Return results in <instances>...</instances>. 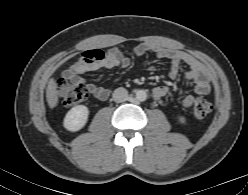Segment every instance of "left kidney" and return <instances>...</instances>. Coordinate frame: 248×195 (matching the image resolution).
<instances>
[{"instance_id":"1","label":"left kidney","mask_w":248,"mask_h":195,"mask_svg":"<svg viewBox=\"0 0 248 195\" xmlns=\"http://www.w3.org/2000/svg\"><path fill=\"white\" fill-rule=\"evenodd\" d=\"M178 120L182 124H184L186 122V119L183 116H178Z\"/></svg>"}]
</instances>
